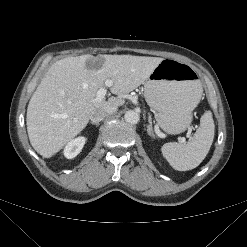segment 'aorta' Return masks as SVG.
Wrapping results in <instances>:
<instances>
[{
    "label": "aorta",
    "mask_w": 247,
    "mask_h": 247,
    "mask_svg": "<svg viewBox=\"0 0 247 247\" xmlns=\"http://www.w3.org/2000/svg\"><path fill=\"white\" fill-rule=\"evenodd\" d=\"M124 119L127 123L137 124L139 122L140 116L139 113L134 110L126 111Z\"/></svg>",
    "instance_id": "1"
}]
</instances>
